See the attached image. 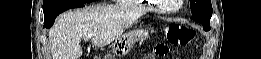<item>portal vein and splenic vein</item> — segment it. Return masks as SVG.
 Returning a JSON list of instances; mask_svg holds the SVG:
<instances>
[{
  "mask_svg": "<svg viewBox=\"0 0 261 59\" xmlns=\"http://www.w3.org/2000/svg\"><path fill=\"white\" fill-rule=\"evenodd\" d=\"M89 38H91V36H90V35L86 36V39H89Z\"/></svg>",
  "mask_w": 261,
  "mask_h": 59,
  "instance_id": "1",
  "label": "portal vein and splenic vein"
}]
</instances>
